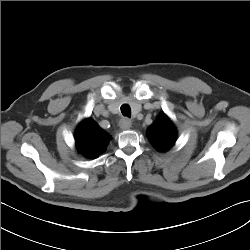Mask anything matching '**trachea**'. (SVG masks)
Instances as JSON below:
<instances>
[{"label":"trachea","mask_w":250,"mask_h":250,"mask_svg":"<svg viewBox=\"0 0 250 250\" xmlns=\"http://www.w3.org/2000/svg\"><path fill=\"white\" fill-rule=\"evenodd\" d=\"M120 109H121V113L124 116L131 117V108L129 105L123 104Z\"/></svg>","instance_id":"obj_1"}]
</instances>
